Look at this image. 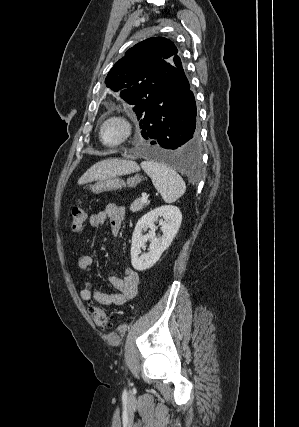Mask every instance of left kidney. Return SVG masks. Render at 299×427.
Returning a JSON list of instances; mask_svg holds the SVG:
<instances>
[{
    "mask_svg": "<svg viewBox=\"0 0 299 427\" xmlns=\"http://www.w3.org/2000/svg\"><path fill=\"white\" fill-rule=\"evenodd\" d=\"M162 217L161 230L162 236L156 238L155 222ZM182 222V214L178 207L173 205H164L155 208L142 216L134 229L131 245V263L134 269L143 271L151 268L161 257L162 253L171 245ZM149 230V233L143 235L142 232ZM150 240L149 252L141 254V248Z\"/></svg>",
    "mask_w": 299,
    "mask_h": 427,
    "instance_id": "1",
    "label": "left kidney"
}]
</instances>
